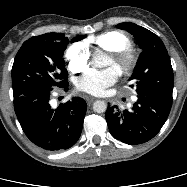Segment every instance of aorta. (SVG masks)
I'll use <instances>...</instances> for the list:
<instances>
[{"label":"aorta","mask_w":187,"mask_h":187,"mask_svg":"<svg viewBox=\"0 0 187 187\" xmlns=\"http://www.w3.org/2000/svg\"><path fill=\"white\" fill-rule=\"evenodd\" d=\"M106 56L102 51L96 50L92 56V63L95 65H103L106 61ZM107 109V104L104 101L97 100L93 104V111L96 113H104Z\"/></svg>","instance_id":"aorta-1"}]
</instances>
